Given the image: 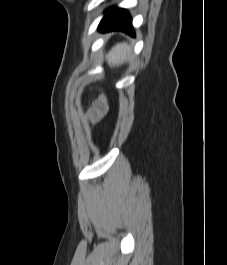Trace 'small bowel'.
Here are the masks:
<instances>
[{"label":"small bowel","mask_w":227,"mask_h":265,"mask_svg":"<svg viewBox=\"0 0 227 265\" xmlns=\"http://www.w3.org/2000/svg\"><path fill=\"white\" fill-rule=\"evenodd\" d=\"M107 111V105L103 101H99L96 105L97 117H102Z\"/></svg>","instance_id":"c3829d8e"}]
</instances>
